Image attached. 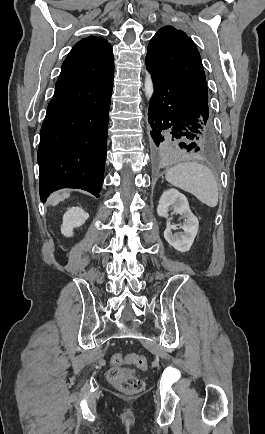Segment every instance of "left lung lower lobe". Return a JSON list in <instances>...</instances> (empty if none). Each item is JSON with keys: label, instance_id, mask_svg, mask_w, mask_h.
<instances>
[{"label": "left lung lower lobe", "instance_id": "obj_1", "mask_svg": "<svg viewBox=\"0 0 265 434\" xmlns=\"http://www.w3.org/2000/svg\"><path fill=\"white\" fill-rule=\"evenodd\" d=\"M146 66L152 74L155 88L148 110L154 151L166 155L180 148L214 153L218 140L209 109L201 107L148 58Z\"/></svg>", "mask_w": 265, "mask_h": 434}]
</instances>
